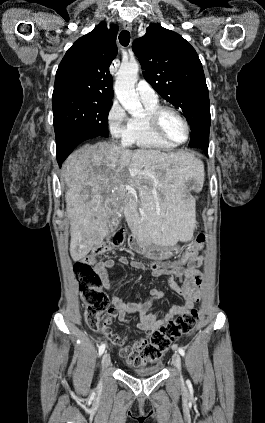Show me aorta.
<instances>
[{"mask_svg":"<svg viewBox=\"0 0 265 423\" xmlns=\"http://www.w3.org/2000/svg\"><path fill=\"white\" fill-rule=\"evenodd\" d=\"M139 65L136 62L122 64L114 85V91L120 104L133 116L143 112L138 94L135 92Z\"/></svg>","mask_w":265,"mask_h":423,"instance_id":"obj_1","label":"aorta"}]
</instances>
